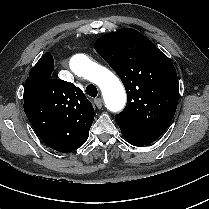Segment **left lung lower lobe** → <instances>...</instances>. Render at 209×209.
<instances>
[{
	"instance_id": "0a47b994",
	"label": "left lung lower lobe",
	"mask_w": 209,
	"mask_h": 209,
	"mask_svg": "<svg viewBox=\"0 0 209 209\" xmlns=\"http://www.w3.org/2000/svg\"><path fill=\"white\" fill-rule=\"evenodd\" d=\"M129 143H131L132 145H134V146H138V147H142L143 145H140V144H137V143H134V142H131V141H129V140H127Z\"/></svg>"
}]
</instances>
